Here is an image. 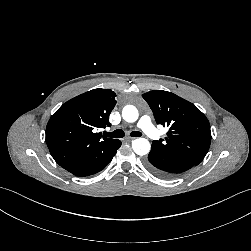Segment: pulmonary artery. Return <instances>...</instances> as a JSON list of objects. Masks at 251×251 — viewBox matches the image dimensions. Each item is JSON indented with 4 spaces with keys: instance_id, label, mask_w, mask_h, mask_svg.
<instances>
[{
    "instance_id": "pulmonary-artery-1",
    "label": "pulmonary artery",
    "mask_w": 251,
    "mask_h": 251,
    "mask_svg": "<svg viewBox=\"0 0 251 251\" xmlns=\"http://www.w3.org/2000/svg\"><path fill=\"white\" fill-rule=\"evenodd\" d=\"M137 127L140 128L149 138L157 140L160 137L159 132L153 126L151 119L148 115H143L137 123Z\"/></svg>"
}]
</instances>
